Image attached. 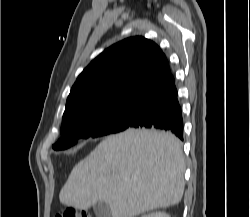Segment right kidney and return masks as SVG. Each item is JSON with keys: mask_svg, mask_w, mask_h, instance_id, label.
Returning <instances> with one entry per match:
<instances>
[{"mask_svg": "<svg viewBox=\"0 0 250 217\" xmlns=\"http://www.w3.org/2000/svg\"><path fill=\"white\" fill-rule=\"evenodd\" d=\"M142 217H170L169 214L163 211H158V212H152L150 214L144 215Z\"/></svg>", "mask_w": 250, "mask_h": 217, "instance_id": "ca27d5eb", "label": "right kidney"}]
</instances>
